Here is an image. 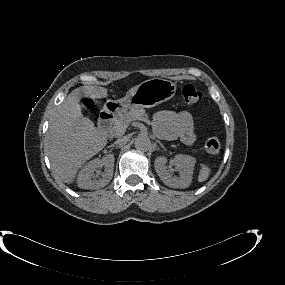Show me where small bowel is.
Listing matches in <instances>:
<instances>
[{"label": "small bowel", "instance_id": "obj_1", "mask_svg": "<svg viewBox=\"0 0 285 285\" xmlns=\"http://www.w3.org/2000/svg\"><path fill=\"white\" fill-rule=\"evenodd\" d=\"M156 133L166 139H180L187 145L196 141L192 116L188 112L162 110L153 117Z\"/></svg>", "mask_w": 285, "mask_h": 285}]
</instances>
